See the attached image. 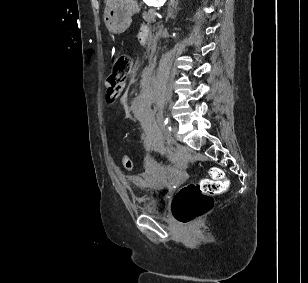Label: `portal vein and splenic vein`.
<instances>
[{"instance_id":"obj_1","label":"portal vein and splenic vein","mask_w":308,"mask_h":283,"mask_svg":"<svg viewBox=\"0 0 308 283\" xmlns=\"http://www.w3.org/2000/svg\"><path fill=\"white\" fill-rule=\"evenodd\" d=\"M154 13V15L156 16L157 15V13L156 12H153Z\"/></svg>"}]
</instances>
